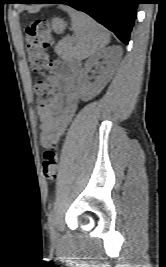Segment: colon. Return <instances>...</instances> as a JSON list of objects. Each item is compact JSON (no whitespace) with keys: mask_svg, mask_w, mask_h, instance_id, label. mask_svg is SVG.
Here are the masks:
<instances>
[{"mask_svg":"<svg viewBox=\"0 0 166 267\" xmlns=\"http://www.w3.org/2000/svg\"><path fill=\"white\" fill-rule=\"evenodd\" d=\"M24 41L31 69L43 73L51 65L49 48L52 45L53 36L48 21L44 19L33 20L26 28ZM33 89L41 106L50 103L55 98L54 88L43 79L35 81ZM58 163V148L56 144H52L44 152L42 162V172L47 180H55Z\"/></svg>","mask_w":166,"mask_h":267,"instance_id":"colon-1","label":"colon"}]
</instances>
